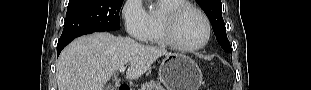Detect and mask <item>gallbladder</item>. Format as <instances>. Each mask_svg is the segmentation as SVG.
<instances>
[{
	"mask_svg": "<svg viewBox=\"0 0 311 90\" xmlns=\"http://www.w3.org/2000/svg\"><path fill=\"white\" fill-rule=\"evenodd\" d=\"M114 86L108 85L106 86V90H113Z\"/></svg>",
	"mask_w": 311,
	"mask_h": 90,
	"instance_id": "bac80fb5",
	"label": "gallbladder"
}]
</instances>
